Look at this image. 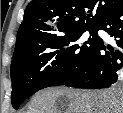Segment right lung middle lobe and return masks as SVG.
Returning a JSON list of instances; mask_svg holds the SVG:
<instances>
[{"label": "right lung middle lobe", "instance_id": "1", "mask_svg": "<svg viewBox=\"0 0 123 113\" xmlns=\"http://www.w3.org/2000/svg\"><path fill=\"white\" fill-rule=\"evenodd\" d=\"M98 30L73 29L17 46L10 71L12 106L18 109L37 91L74 80L102 41Z\"/></svg>", "mask_w": 123, "mask_h": 113}]
</instances>
